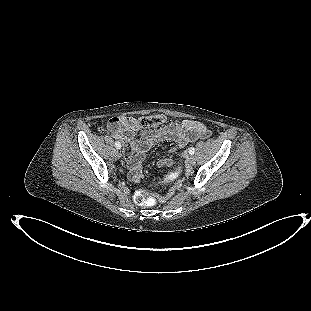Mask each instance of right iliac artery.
Wrapping results in <instances>:
<instances>
[{"label":"right iliac artery","instance_id":"1","mask_svg":"<svg viewBox=\"0 0 311 311\" xmlns=\"http://www.w3.org/2000/svg\"><path fill=\"white\" fill-rule=\"evenodd\" d=\"M115 147H116L117 149H120V148H121L120 142L117 141V142L115 143Z\"/></svg>","mask_w":311,"mask_h":311}]
</instances>
